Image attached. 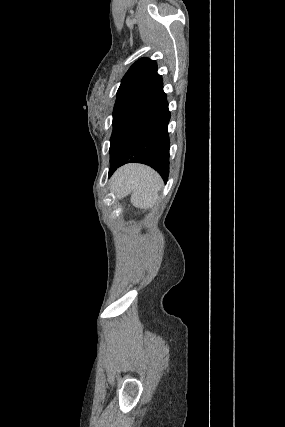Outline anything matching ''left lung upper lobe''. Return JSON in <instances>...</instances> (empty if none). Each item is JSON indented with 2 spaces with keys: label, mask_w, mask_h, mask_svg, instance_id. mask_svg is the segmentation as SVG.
I'll return each instance as SVG.
<instances>
[{
  "label": "left lung upper lobe",
  "mask_w": 285,
  "mask_h": 427,
  "mask_svg": "<svg viewBox=\"0 0 285 427\" xmlns=\"http://www.w3.org/2000/svg\"><path fill=\"white\" fill-rule=\"evenodd\" d=\"M162 87V77L157 73V64L154 60L142 58L127 71L117 91L113 109L110 161L124 130Z\"/></svg>",
  "instance_id": "5c2ea615"
}]
</instances>
